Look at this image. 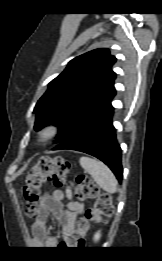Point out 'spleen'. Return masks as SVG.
<instances>
[{
	"label": "spleen",
	"mask_w": 162,
	"mask_h": 261,
	"mask_svg": "<svg viewBox=\"0 0 162 261\" xmlns=\"http://www.w3.org/2000/svg\"><path fill=\"white\" fill-rule=\"evenodd\" d=\"M79 163L103 190L108 193H115L117 191L118 182L112 171L103 162L82 156L79 159Z\"/></svg>",
	"instance_id": "3e777b00"
}]
</instances>
